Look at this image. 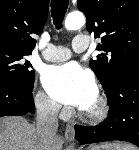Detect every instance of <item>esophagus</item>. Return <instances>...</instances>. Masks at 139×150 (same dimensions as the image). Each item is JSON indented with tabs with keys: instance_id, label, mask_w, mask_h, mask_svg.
<instances>
[{
	"instance_id": "esophagus-1",
	"label": "esophagus",
	"mask_w": 139,
	"mask_h": 150,
	"mask_svg": "<svg viewBox=\"0 0 139 150\" xmlns=\"http://www.w3.org/2000/svg\"><path fill=\"white\" fill-rule=\"evenodd\" d=\"M65 137L69 142H73L75 140V131L72 124L66 125Z\"/></svg>"
}]
</instances>
